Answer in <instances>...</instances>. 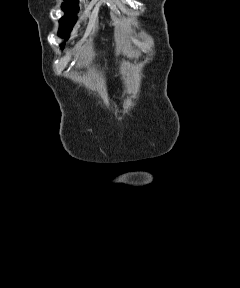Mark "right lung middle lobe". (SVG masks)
<instances>
[{"label":"right lung middle lobe","instance_id":"dd1d6c3e","mask_svg":"<svg viewBox=\"0 0 240 288\" xmlns=\"http://www.w3.org/2000/svg\"><path fill=\"white\" fill-rule=\"evenodd\" d=\"M65 1L66 2L62 5V9L66 13V15L60 19L59 35L61 37H66L69 35L74 24L76 23L77 20L76 13L78 12V7L76 5L78 2L77 0H65Z\"/></svg>","mask_w":240,"mask_h":288}]
</instances>
